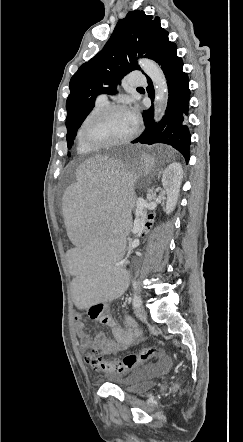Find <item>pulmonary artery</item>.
<instances>
[{
	"label": "pulmonary artery",
	"instance_id": "e3ab8cb5",
	"mask_svg": "<svg viewBox=\"0 0 243 442\" xmlns=\"http://www.w3.org/2000/svg\"><path fill=\"white\" fill-rule=\"evenodd\" d=\"M128 83L132 86H140V85L145 84V80L140 78L138 74L133 73V74L129 75ZM97 101L107 103V96L104 94H101L97 97Z\"/></svg>",
	"mask_w": 243,
	"mask_h": 442
}]
</instances>
